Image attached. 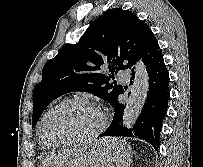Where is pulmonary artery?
<instances>
[{
  "mask_svg": "<svg viewBox=\"0 0 203 167\" xmlns=\"http://www.w3.org/2000/svg\"><path fill=\"white\" fill-rule=\"evenodd\" d=\"M117 77L119 78V80L121 81H128L129 80V74L127 71L125 70H120L117 73Z\"/></svg>",
  "mask_w": 203,
  "mask_h": 167,
  "instance_id": "pulmonary-artery-1",
  "label": "pulmonary artery"
}]
</instances>
